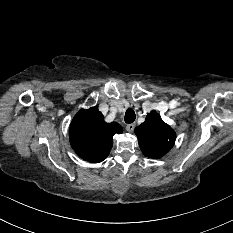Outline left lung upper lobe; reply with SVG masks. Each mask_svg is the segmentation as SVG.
<instances>
[{"label":"left lung upper lobe","mask_w":233,"mask_h":233,"mask_svg":"<svg viewBox=\"0 0 233 233\" xmlns=\"http://www.w3.org/2000/svg\"><path fill=\"white\" fill-rule=\"evenodd\" d=\"M139 146L149 158H160L174 145L176 134L156 111L150 112L145 122L135 128Z\"/></svg>","instance_id":"obj_1"}]
</instances>
